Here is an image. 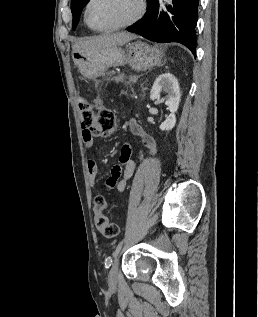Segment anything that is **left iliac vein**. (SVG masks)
Instances as JSON below:
<instances>
[{
  "label": "left iliac vein",
  "mask_w": 258,
  "mask_h": 317,
  "mask_svg": "<svg viewBox=\"0 0 258 317\" xmlns=\"http://www.w3.org/2000/svg\"><path fill=\"white\" fill-rule=\"evenodd\" d=\"M120 253L122 252L121 250L119 251ZM118 259H116L115 260V263L112 265V267H111V271H110V273L108 274V277L110 278V279H115V278H117V273H118V268L120 267V260H119V256L117 257Z\"/></svg>",
  "instance_id": "obj_1"
}]
</instances>
